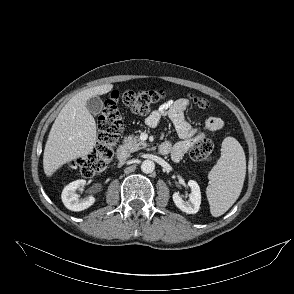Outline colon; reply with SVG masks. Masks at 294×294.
I'll list each match as a JSON object with an SVG mask.
<instances>
[{"label":"colon","mask_w":294,"mask_h":294,"mask_svg":"<svg viewBox=\"0 0 294 294\" xmlns=\"http://www.w3.org/2000/svg\"><path fill=\"white\" fill-rule=\"evenodd\" d=\"M166 96L167 92L163 90L113 92L98 117L99 136L95 148L88 155L74 161V168L78 169L82 176L92 177L106 170L112 163L115 145L123 129L121 113L118 108L120 101L136 114H147L154 104ZM191 98L201 108H207L210 105L207 99L198 96H191ZM213 149V143L209 139L201 137L193 141L189 154L197 162H206L212 157Z\"/></svg>","instance_id":"colon-1"}]
</instances>
